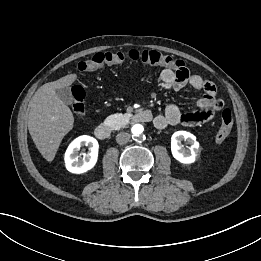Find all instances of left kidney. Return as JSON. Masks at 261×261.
Here are the masks:
<instances>
[{"label": "left kidney", "mask_w": 261, "mask_h": 261, "mask_svg": "<svg viewBox=\"0 0 261 261\" xmlns=\"http://www.w3.org/2000/svg\"><path fill=\"white\" fill-rule=\"evenodd\" d=\"M185 140L190 145V150L181 147V141ZM171 152L173 157L183 164H191L195 162L196 157L200 153L199 143L196 137L186 131H177L171 137Z\"/></svg>", "instance_id": "1"}]
</instances>
